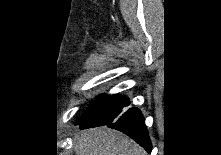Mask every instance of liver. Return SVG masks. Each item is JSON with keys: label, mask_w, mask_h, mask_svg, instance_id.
<instances>
[{"label": "liver", "mask_w": 221, "mask_h": 155, "mask_svg": "<svg viewBox=\"0 0 221 155\" xmlns=\"http://www.w3.org/2000/svg\"><path fill=\"white\" fill-rule=\"evenodd\" d=\"M76 155H146L137 143L108 127L83 130L75 135Z\"/></svg>", "instance_id": "1"}]
</instances>
